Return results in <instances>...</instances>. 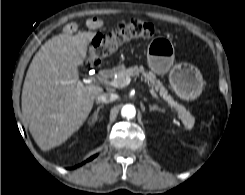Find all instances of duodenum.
<instances>
[{
    "mask_svg": "<svg viewBox=\"0 0 245 195\" xmlns=\"http://www.w3.org/2000/svg\"><path fill=\"white\" fill-rule=\"evenodd\" d=\"M113 70L112 69H105L102 71V77L103 78H109L113 75Z\"/></svg>",
    "mask_w": 245,
    "mask_h": 195,
    "instance_id": "410a0bca",
    "label": "duodenum"
}]
</instances>
